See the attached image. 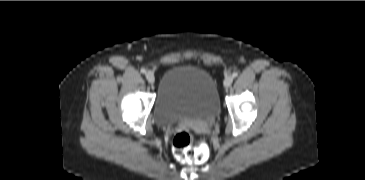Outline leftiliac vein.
I'll list each match as a JSON object with an SVG mask.
<instances>
[{"label":"left iliac vein","mask_w":365,"mask_h":180,"mask_svg":"<svg viewBox=\"0 0 365 180\" xmlns=\"http://www.w3.org/2000/svg\"><path fill=\"white\" fill-rule=\"evenodd\" d=\"M233 82V77L231 75H228L225 79H224V86L226 88L230 87V85Z\"/></svg>","instance_id":"4c4485c4"}]
</instances>
